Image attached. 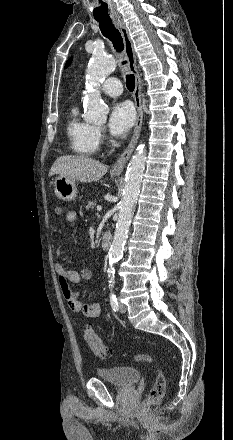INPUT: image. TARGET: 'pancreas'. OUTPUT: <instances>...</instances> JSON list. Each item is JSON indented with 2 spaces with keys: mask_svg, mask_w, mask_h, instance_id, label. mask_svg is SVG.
<instances>
[{
  "mask_svg": "<svg viewBox=\"0 0 233 440\" xmlns=\"http://www.w3.org/2000/svg\"><path fill=\"white\" fill-rule=\"evenodd\" d=\"M96 206V203L94 201H89L88 204L86 205V209H93Z\"/></svg>",
  "mask_w": 233,
  "mask_h": 440,
  "instance_id": "cf45deb5",
  "label": "pancreas"
}]
</instances>
